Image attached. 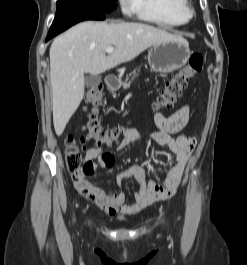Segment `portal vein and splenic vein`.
Returning <instances> with one entry per match:
<instances>
[{
  "label": "portal vein and splenic vein",
  "mask_w": 247,
  "mask_h": 265,
  "mask_svg": "<svg viewBox=\"0 0 247 265\" xmlns=\"http://www.w3.org/2000/svg\"><path fill=\"white\" fill-rule=\"evenodd\" d=\"M114 50H115L114 47H106V49H105L106 53H111Z\"/></svg>",
  "instance_id": "1"
}]
</instances>
